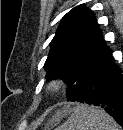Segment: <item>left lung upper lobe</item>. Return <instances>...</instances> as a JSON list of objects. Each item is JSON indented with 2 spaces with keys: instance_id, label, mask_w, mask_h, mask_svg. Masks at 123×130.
Here are the masks:
<instances>
[{
  "instance_id": "5c2ea615",
  "label": "left lung upper lobe",
  "mask_w": 123,
  "mask_h": 130,
  "mask_svg": "<svg viewBox=\"0 0 123 130\" xmlns=\"http://www.w3.org/2000/svg\"><path fill=\"white\" fill-rule=\"evenodd\" d=\"M108 49L94 13L84 4L78 5L63 17L50 43L44 64L46 78L64 79L67 99L75 102L89 72Z\"/></svg>"
}]
</instances>
